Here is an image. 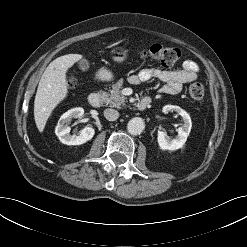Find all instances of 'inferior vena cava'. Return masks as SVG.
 Wrapping results in <instances>:
<instances>
[{
    "mask_svg": "<svg viewBox=\"0 0 247 247\" xmlns=\"http://www.w3.org/2000/svg\"><path fill=\"white\" fill-rule=\"evenodd\" d=\"M104 116L109 121H115L119 117V112L115 109L107 108L104 110Z\"/></svg>",
    "mask_w": 247,
    "mask_h": 247,
    "instance_id": "1",
    "label": "inferior vena cava"
}]
</instances>
